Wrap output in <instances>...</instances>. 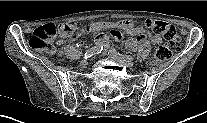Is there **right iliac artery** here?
<instances>
[{
  "label": "right iliac artery",
  "instance_id": "right-iliac-artery-1",
  "mask_svg": "<svg viewBox=\"0 0 207 123\" xmlns=\"http://www.w3.org/2000/svg\"><path fill=\"white\" fill-rule=\"evenodd\" d=\"M103 48H104L103 45H97V46L90 48L89 50L85 52L84 58L88 59L92 57L93 55L99 54L103 50Z\"/></svg>",
  "mask_w": 207,
  "mask_h": 123
}]
</instances>
